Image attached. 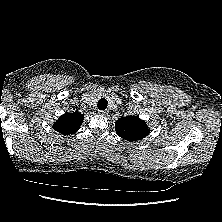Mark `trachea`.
<instances>
[{
    "instance_id": "1",
    "label": "trachea",
    "mask_w": 222,
    "mask_h": 222,
    "mask_svg": "<svg viewBox=\"0 0 222 222\" xmlns=\"http://www.w3.org/2000/svg\"><path fill=\"white\" fill-rule=\"evenodd\" d=\"M108 102L105 98H101L98 103L97 107L99 110H105L107 108Z\"/></svg>"
}]
</instances>
